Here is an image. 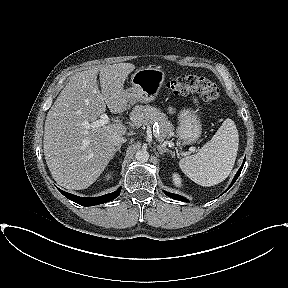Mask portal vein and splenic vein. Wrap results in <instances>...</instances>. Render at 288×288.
<instances>
[{"label": "portal vein and splenic vein", "mask_w": 288, "mask_h": 288, "mask_svg": "<svg viewBox=\"0 0 288 288\" xmlns=\"http://www.w3.org/2000/svg\"><path fill=\"white\" fill-rule=\"evenodd\" d=\"M108 122H109L108 115L103 113V114H101L99 120H96L95 122H93L91 124V127H93V128L101 127V126H104L105 124H108ZM88 127H89V125H88Z\"/></svg>", "instance_id": "obj_1"}]
</instances>
